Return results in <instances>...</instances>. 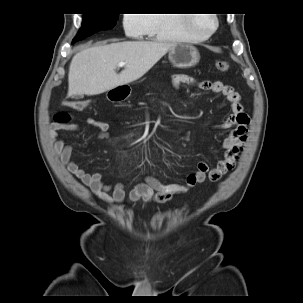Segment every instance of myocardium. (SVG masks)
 <instances>
[{"mask_svg":"<svg viewBox=\"0 0 303 303\" xmlns=\"http://www.w3.org/2000/svg\"><path fill=\"white\" fill-rule=\"evenodd\" d=\"M210 16H211V18L213 20V27H212V29L209 32H207V33H199L193 27V25H194L197 17L194 16V14L193 15L192 14L191 15L190 14L186 15L187 26H188L189 30L191 31V33L193 35V39H197V40H199V39H207V38H210L216 32V30L218 28V25H219L218 16L216 14H211Z\"/></svg>","mask_w":303,"mask_h":303,"instance_id":"myocardium-1","label":"myocardium"}]
</instances>
